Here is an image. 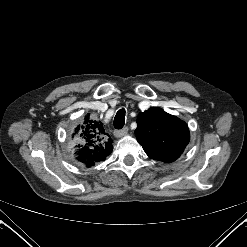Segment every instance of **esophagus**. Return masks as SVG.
Returning a JSON list of instances; mask_svg holds the SVG:
<instances>
[{
    "mask_svg": "<svg viewBox=\"0 0 247 247\" xmlns=\"http://www.w3.org/2000/svg\"><path fill=\"white\" fill-rule=\"evenodd\" d=\"M128 133V127H124L120 130H115L114 134L116 137H123Z\"/></svg>",
    "mask_w": 247,
    "mask_h": 247,
    "instance_id": "1",
    "label": "esophagus"
}]
</instances>
